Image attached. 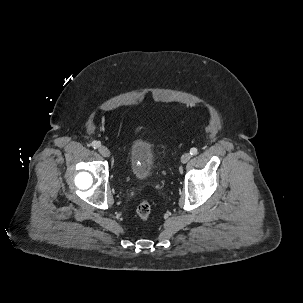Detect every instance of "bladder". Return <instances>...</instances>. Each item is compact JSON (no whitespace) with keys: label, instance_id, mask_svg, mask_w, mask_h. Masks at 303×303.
<instances>
[{"label":"bladder","instance_id":"1","mask_svg":"<svg viewBox=\"0 0 303 303\" xmlns=\"http://www.w3.org/2000/svg\"><path fill=\"white\" fill-rule=\"evenodd\" d=\"M160 155V148L142 135H136L129 146L130 174L138 180L151 176Z\"/></svg>","mask_w":303,"mask_h":303}]
</instances>
